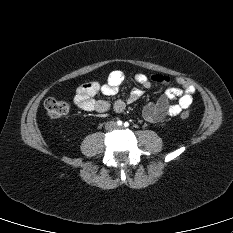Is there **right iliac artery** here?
I'll use <instances>...</instances> for the list:
<instances>
[{
    "instance_id": "obj_1",
    "label": "right iliac artery",
    "mask_w": 233,
    "mask_h": 233,
    "mask_svg": "<svg viewBox=\"0 0 233 233\" xmlns=\"http://www.w3.org/2000/svg\"><path fill=\"white\" fill-rule=\"evenodd\" d=\"M122 124H123V123H122L121 120H118V121H117V125L121 126Z\"/></svg>"
}]
</instances>
